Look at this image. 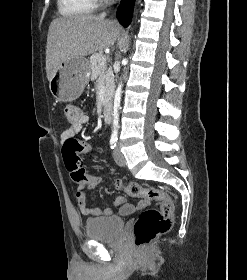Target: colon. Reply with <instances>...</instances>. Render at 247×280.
Returning <instances> with one entry per match:
<instances>
[{"label": "colon", "mask_w": 247, "mask_h": 280, "mask_svg": "<svg viewBox=\"0 0 247 280\" xmlns=\"http://www.w3.org/2000/svg\"><path fill=\"white\" fill-rule=\"evenodd\" d=\"M64 115L70 123H73L80 117V111L74 105H66ZM91 150L92 146L89 143L79 142L76 139L66 141L62 148L65 167L72 180L86 191H93L95 186L109 185L107 176H88L82 167L80 154ZM112 185L116 189H123L131 197L142 198L146 203L151 201L160 203L159 208L145 209L138 216L133 228L136 246H145L171 228L174 203L168 192L160 188H145L134 182L123 184L116 181Z\"/></svg>", "instance_id": "5ec220e1"}]
</instances>
